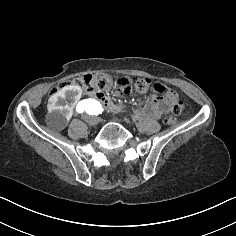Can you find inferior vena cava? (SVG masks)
<instances>
[{"label":"inferior vena cava","mask_w":236,"mask_h":236,"mask_svg":"<svg viewBox=\"0 0 236 236\" xmlns=\"http://www.w3.org/2000/svg\"><path fill=\"white\" fill-rule=\"evenodd\" d=\"M82 119L84 122L89 126H95L97 123L101 122L100 118H97L96 116H90V115H83Z\"/></svg>","instance_id":"obj_1"}]
</instances>
